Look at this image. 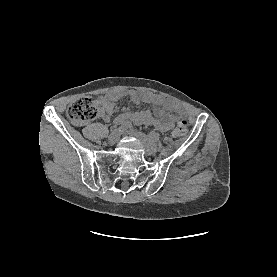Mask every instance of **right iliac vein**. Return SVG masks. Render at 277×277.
<instances>
[{
  "instance_id": "obj_1",
  "label": "right iliac vein",
  "mask_w": 277,
  "mask_h": 277,
  "mask_svg": "<svg viewBox=\"0 0 277 277\" xmlns=\"http://www.w3.org/2000/svg\"><path fill=\"white\" fill-rule=\"evenodd\" d=\"M120 137V132L118 129H114L112 130V132L110 133L109 137H108V144L113 145L115 144Z\"/></svg>"
}]
</instances>
